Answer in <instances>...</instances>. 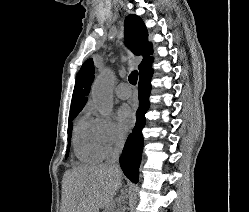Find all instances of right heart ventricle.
<instances>
[{
	"label": "right heart ventricle",
	"instance_id": "1",
	"mask_svg": "<svg viewBox=\"0 0 249 212\" xmlns=\"http://www.w3.org/2000/svg\"><path fill=\"white\" fill-rule=\"evenodd\" d=\"M94 132L93 121L87 118H80L76 121L72 133V147L78 160L83 162H97L100 160Z\"/></svg>",
	"mask_w": 249,
	"mask_h": 212
}]
</instances>
